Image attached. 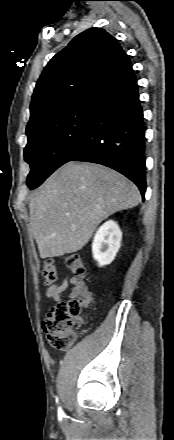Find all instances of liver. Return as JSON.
<instances>
[{"mask_svg": "<svg viewBox=\"0 0 174 440\" xmlns=\"http://www.w3.org/2000/svg\"><path fill=\"white\" fill-rule=\"evenodd\" d=\"M140 200L136 185L117 171L94 163H66L29 202L40 257L79 251L103 220Z\"/></svg>", "mask_w": 174, "mask_h": 440, "instance_id": "1", "label": "liver"}]
</instances>
